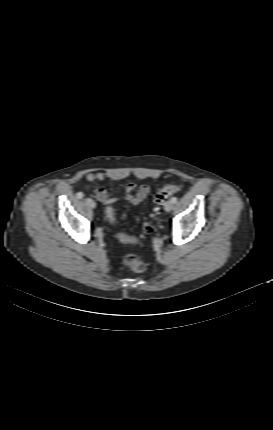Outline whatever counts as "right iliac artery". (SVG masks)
<instances>
[{
	"instance_id": "obj_1",
	"label": "right iliac artery",
	"mask_w": 273,
	"mask_h": 430,
	"mask_svg": "<svg viewBox=\"0 0 273 430\" xmlns=\"http://www.w3.org/2000/svg\"><path fill=\"white\" fill-rule=\"evenodd\" d=\"M76 196H77V198L81 199V198H83V197H84V194H83L82 192H78V193L76 194Z\"/></svg>"
}]
</instances>
